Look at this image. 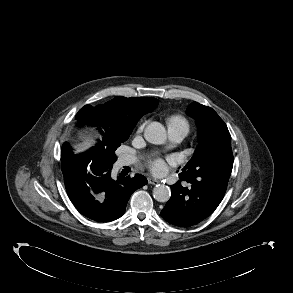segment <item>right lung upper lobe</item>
<instances>
[{
	"label": "right lung upper lobe",
	"instance_id": "right-lung-upper-lobe-1",
	"mask_svg": "<svg viewBox=\"0 0 293 293\" xmlns=\"http://www.w3.org/2000/svg\"><path fill=\"white\" fill-rule=\"evenodd\" d=\"M158 105L155 98H126L117 96L105 105L92 107L86 105L79 110L76 117L82 123L94 124L104 129V139L91 148V150L74 155L70 146L64 143L61 150L62 173L64 176L75 171L78 165L85 160L97 157L95 152L103 142L113 135L131 134L137 121ZM100 128V130H101ZM103 133V132H102ZM106 148V146H105Z\"/></svg>",
	"mask_w": 293,
	"mask_h": 293
}]
</instances>
